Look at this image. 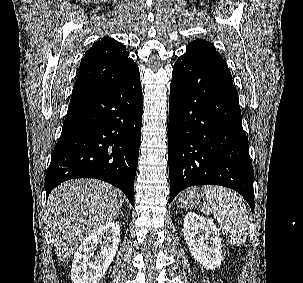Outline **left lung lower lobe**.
<instances>
[{"label": "left lung lower lobe", "mask_w": 303, "mask_h": 283, "mask_svg": "<svg viewBox=\"0 0 303 283\" xmlns=\"http://www.w3.org/2000/svg\"><path fill=\"white\" fill-rule=\"evenodd\" d=\"M231 73L217 51L185 53L170 85V202L183 189L215 184L254 210V171Z\"/></svg>", "instance_id": "1"}]
</instances>
